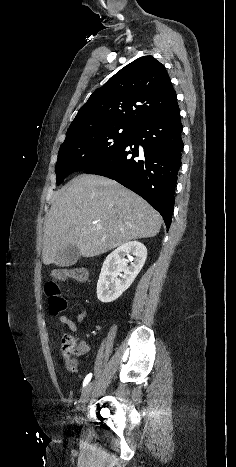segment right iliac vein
Wrapping results in <instances>:
<instances>
[{"label": "right iliac vein", "instance_id": "1", "mask_svg": "<svg viewBox=\"0 0 236 467\" xmlns=\"http://www.w3.org/2000/svg\"><path fill=\"white\" fill-rule=\"evenodd\" d=\"M93 385H94L93 382H90L84 388V390H83V392L81 394L80 400H79V404L77 406V410L79 412H82L85 409L86 403L88 402L89 397L91 395ZM77 421H82V417L78 416Z\"/></svg>", "mask_w": 236, "mask_h": 467}]
</instances>
